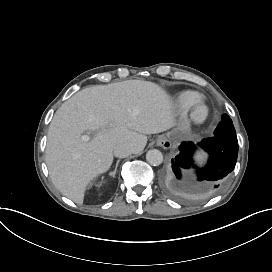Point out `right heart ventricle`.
Masks as SVG:
<instances>
[{
    "mask_svg": "<svg viewBox=\"0 0 272 272\" xmlns=\"http://www.w3.org/2000/svg\"><path fill=\"white\" fill-rule=\"evenodd\" d=\"M198 92L192 89H186V90H182L180 91L177 96H176V100L177 102L182 105L184 102L191 100L193 98H195L196 96H198Z\"/></svg>",
    "mask_w": 272,
    "mask_h": 272,
    "instance_id": "right-heart-ventricle-1",
    "label": "right heart ventricle"
}]
</instances>
